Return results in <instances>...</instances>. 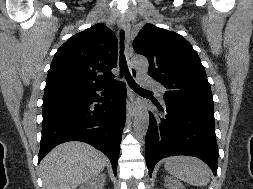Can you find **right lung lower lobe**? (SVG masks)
<instances>
[{"label": "right lung lower lobe", "instance_id": "1", "mask_svg": "<svg viewBox=\"0 0 253 189\" xmlns=\"http://www.w3.org/2000/svg\"><path fill=\"white\" fill-rule=\"evenodd\" d=\"M93 102L101 104L93 105ZM125 105L126 88L123 82L45 93L38 162L58 144L83 141L110 159L116 175L126 120Z\"/></svg>", "mask_w": 253, "mask_h": 189}]
</instances>
